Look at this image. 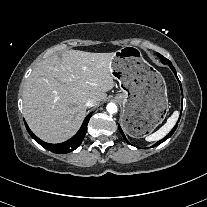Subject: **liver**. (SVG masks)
Masks as SVG:
<instances>
[{
    "label": "liver",
    "mask_w": 207,
    "mask_h": 207,
    "mask_svg": "<svg viewBox=\"0 0 207 207\" xmlns=\"http://www.w3.org/2000/svg\"><path fill=\"white\" fill-rule=\"evenodd\" d=\"M113 55L69 50L33 69L23 91V115L40 139L60 143L76 133L86 102L103 101L115 85Z\"/></svg>",
    "instance_id": "obj_1"
}]
</instances>
